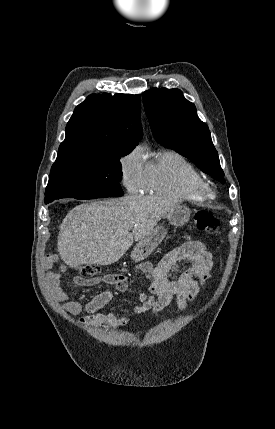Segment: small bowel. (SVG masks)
I'll use <instances>...</instances> for the list:
<instances>
[{"instance_id":"1","label":"small bowel","mask_w":275,"mask_h":429,"mask_svg":"<svg viewBox=\"0 0 275 429\" xmlns=\"http://www.w3.org/2000/svg\"><path fill=\"white\" fill-rule=\"evenodd\" d=\"M212 255L207 246L201 241H190L168 252L157 265L149 262L137 264L136 269L143 272L149 281V293L140 296L139 303L132 307L135 314L162 312L175 298L180 310L187 308L199 294L200 289L206 286L211 277ZM59 272L50 280V293L69 314H87L80 319L83 325L89 327L118 328L129 322L127 317H118L114 308H104L111 301V291H103L85 302L82 294L77 301H69L65 289L60 284ZM76 286H88L97 282L112 284L118 291H124L128 286V278L124 274H106L99 279H85L76 276L73 279Z\"/></svg>"}]
</instances>
